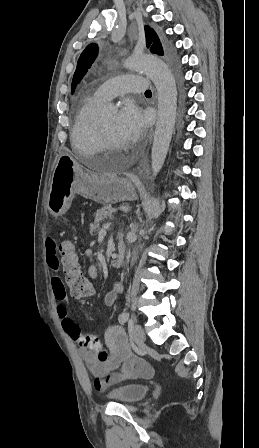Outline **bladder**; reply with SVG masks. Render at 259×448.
<instances>
[{
	"mask_svg": "<svg viewBox=\"0 0 259 448\" xmlns=\"http://www.w3.org/2000/svg\"><path fill=\"white\" fill-rule=\"evenodd\" d=\"M145 384H125L113 387L108 391V397L122 404H134L141 401L148 393Z\"/></svg>",
	"mask_w": 259,
	"mask_h": 448,
	"instance_id": "obj_1",
	"label": "bladder"
}]
</instances>
